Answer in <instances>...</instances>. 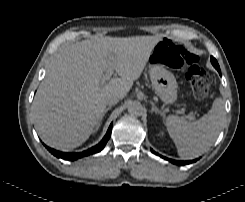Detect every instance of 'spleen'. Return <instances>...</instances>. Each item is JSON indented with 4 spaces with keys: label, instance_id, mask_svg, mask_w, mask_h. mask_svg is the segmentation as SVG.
I'll list each match as a JSON object with an SVG mask.
<instances>
[{
    "label": "spleen",
    "instance_id": "obj_1",
    "mask_svg": "<svg viewBox=\"0 0 245 202\" xmlns=\"http://www.w3.org/2000/svg\"><path fill=\"white\" fill-rule=\"evenodd\" d=\"M225 118L224 101L216 98L210 111L194 122L182 117L168 116L167 131L174 141L178 155L192 159L206 152L215 142Z\"/></svg>",
    "mask_w": 245,
    "mask_h": 202
}]
</instances>
